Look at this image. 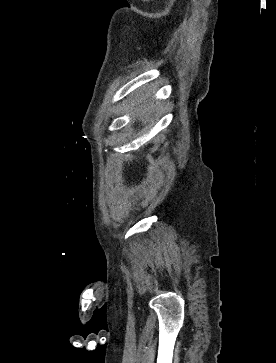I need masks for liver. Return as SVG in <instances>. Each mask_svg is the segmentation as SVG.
<instances>
[{
	"instance_id": "6515ba94",
	"label": "liver",
	"mask_w": 276,
	"mask_h": 363,
	"mask_svg": "<svg viewBox=\"0 0 276 363\" xmlns=\"http://www.w3.org/2000/svg\"><path fill=\"white\" fill-rule=\"evenodd\" d=\"M154 93V90L149 93L146 91L145 94L141 96L135 97L136 105L133 106V109L139 114L142 119L148 120L152 115L153 111H155L158 107V103H153L150 101L151 95ZM148 101V103H146Z\"/></svg>"
}]
</instances>
